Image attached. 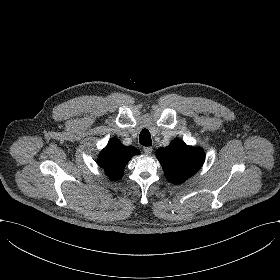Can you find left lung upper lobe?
Masks as SVG:
<instances>
[{
  "mask_svg": "<svg viewBox=\"0 0 280 280\" xmlns=\"http://www.w3.org/2000/svg\"><path fill=\"white\" fill-rule=\"evenodd\" d=\"M156 157L169 181L180 184L194 175L205 160L202 148H194L177 139L165 148H159Z\"/></svg>",
  "mask_w": 280,
  "mask_h": 280,
  "instance_id": "left-lung-upper-lobe-1",
  "label": "left lung upper lobe"
}]
</instances>
